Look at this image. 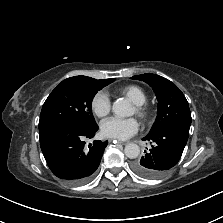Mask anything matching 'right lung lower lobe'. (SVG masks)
<instances>
[{
  "mask_svg": "<svg viewBox=\"0 0 223 223\" xmlns=\"http://www.w3.org/2000/svg\"><path fill=\"white\" fill-rule=\"evenodd\" d=\"M98 126L86 128L71 122H58L39 129L40 147L55 176L72 184L87 182L98 168L108 141L93 138Z\"/></svg>",
  "mask_w": 223,
  "mask_h": 223,
  "instance_id": "right-lung-lower-lobe-1",
  "label": "right lung lower lobe"
}]
</instances>
